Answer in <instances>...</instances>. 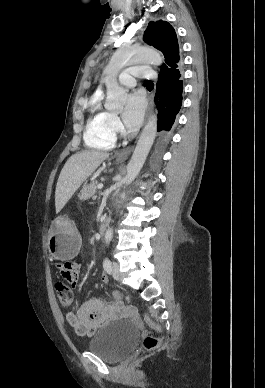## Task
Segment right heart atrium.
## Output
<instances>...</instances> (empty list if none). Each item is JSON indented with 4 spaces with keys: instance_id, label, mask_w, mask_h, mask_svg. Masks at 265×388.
<instances>
[{
    "instance_id": "right-heart-atrium-1",
    "label": "right heart atrium",
    "mask_w": 265,
    "mask_h": 388,
    "mask_svg": "<svg viewBox=\"0 0 265 388\" xmlns=\"http://www.w3.org/2000/svg\"><path fill=\"white\" fill-rule=\"evenodd\" d=\"M109 128L113 133L122 131V124L117 116L115 115L110 116Z\"/></svg>"
}]
</instances>
